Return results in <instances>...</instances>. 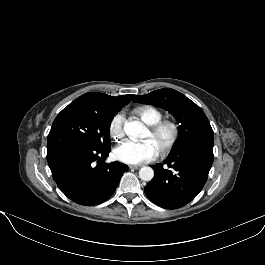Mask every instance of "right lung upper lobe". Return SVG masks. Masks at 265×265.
<instances>
[{
  "label": "right lung upper lobe",
  "instance_id": "cb5924a9",
  "mask_svg": "<svg viewBox=\"0 0 265 265\" xmlns=\"http://www.w3.org/2000/svg\"><path fill=\"white\" fill-rule=\"evenodd\" d=\"M135 95H120L113 97L103 93H86L74 100L68 106H83L106 115L115 116L118 111L128 104Z\"/></svg>",
  "mask_w": 265,
  "mask_h": 265
}]
</instances>
